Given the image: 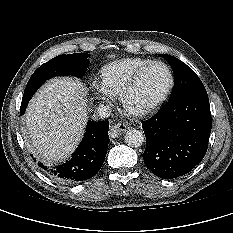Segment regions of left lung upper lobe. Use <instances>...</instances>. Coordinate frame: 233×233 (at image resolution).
I'll list each match as a JSON object with an SVG mask.
<instances>
[{
  "label": "left lung upper lobe",
  "mask_w": 233,
  "mask_h": 233,
  "mask_svg": "<svg viewBox=\"0 0 233 233\" xmlns=\"http://www.w3.org/2000/svg\"><path fill=\"white\" fill-rule=\"evenodd\" d=\"M168 61L174 72V87L169 99L184 95L207 94L204 85L195 72L174 56L161 54Z\"/></svg>",
  "instance_id": "obj_1"
}]
</instances>
